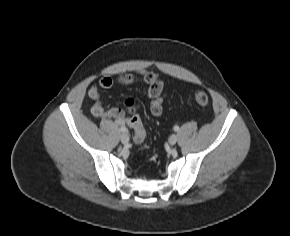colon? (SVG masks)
I'll list each match as a JSON object with an SVG mask.
<instances>
[{
    "mask_svg": "<svg viewBox=\"0 0 290 236\" xmlns=\"http://www.w3.org/2000/svg\"><path fill=\"white\" fill-rule=\"evenodd\" d=\"M194 99L196 104L199 106H206L209 102V97L205 91L198 90L194 94ZM128 112H129V123L133 130V141L136 144H141L146 138V130L140 120L138 114L135 113L134 100L126 99L124 102Z\"/></svg>",
    "mask_w": 290,
    "mask_h": 236,
    "instance_id": "5ec220e1",
    "label": "colon"
}]
</instances>
